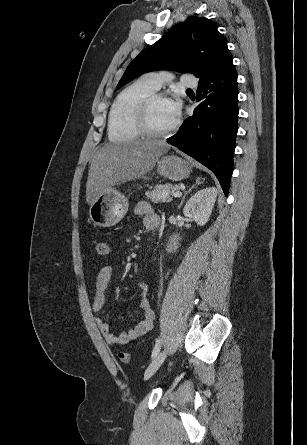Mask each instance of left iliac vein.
<instances>
[{
  "mask_svg": "<svg viewBox=\"0 0 307 445\" xmlns=\"http://www.w3.org/2000/svg\"><path fill=\"white\" fill-rule=\"evenodd\" d=\"M166 358V350L161 351L159 354H157L156 357L152 360V362L147 367L144 378L149 379L162 365Z\"/></svg>",
  "mask_w": 307,
  "mask_h": 445,
  "instance_id": "1",
  "label": "left iliac vein"
}]
</instances>
